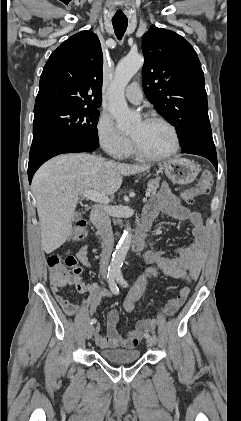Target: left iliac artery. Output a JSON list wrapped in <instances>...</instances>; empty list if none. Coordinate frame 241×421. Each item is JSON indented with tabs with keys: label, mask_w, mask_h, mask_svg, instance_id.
I'll return each instance as SVG.
<instances>
[{
	"label": "left iliac artery",
	"mask_w": 241,
	"mask_h": 421,
	"mask_svg": "<svg viewBox=\"0 0 241 421\" xmlns=\"http://www.w3.org/2000/svg\"><path fill=\"white\" fill-rule=\"evenodd\" d=\"M115 277H116V280L121 284V285H123L124 287H127L128 286V283L126 282V280L123 278V275H122V273H121V270L120 269H117L116 271H115ZM145 337L146 338H149L150 337V335L149 334H146L145 335Z\"/></svg>",
	"instance_id": "obj_1"
}]
</instances>
